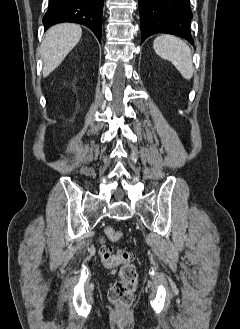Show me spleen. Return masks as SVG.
Listing matches in <instances>:
<instances>
[{"instance_id": "obj_1", "label": "spleen", "mask_w": 240, "mask_h": 329, "mask_svg": "<svg viewBox=\"0 0 240 329\" xmlns=\"http://www.w3.org/2000/svg\"><path fill=\"white\" fill-rule=\"evenodd\" d=\"M153 48L160 57L171 61L184 79L190 80L193 77L191 50L182 39L160 35L154 39Z\"/></svg>"}]
</instances>
